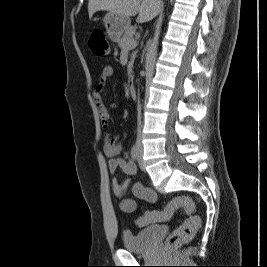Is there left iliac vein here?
I'll return each mask as SVG.
<instances>
[{"label": "left iliac vein", "mask_w": 267, "mask_h": 267, "mask_svg": "<svg viewBox=\"0 0 267 267\" xmlns=\"http://www.w3.org/2000/svg\"><path fill=\"white\" fill-rule=\"evenodd\" d=\"M138 163H139V167L141 170H144V164H143V160H142V150H139V155H138Z\"/></svg>", "instance_id": "4c4485c4"}]
</instances>
